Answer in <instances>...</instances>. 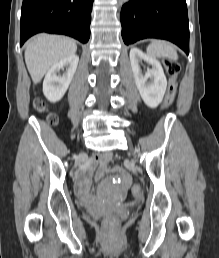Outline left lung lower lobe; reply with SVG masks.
Here are the masks:
<instances>
[{
    "label": "left lung lower lobe",
    "mask_w": 219,
    "mask_h": 258,
    "mask_svg": "<svg viewBox=\"0 0 219 258\" xmlns=\"http://www.w3.org/2000/svg\"><path fill=\"white\" fill-rule=\"evenodd\" d=\"M126 45L145 38L169 40L189 54V25L185 0H130L121 9Z\"/></svg>",
    "instance_id": "left-lung-lower-lobe-1"
}]
</instances>
